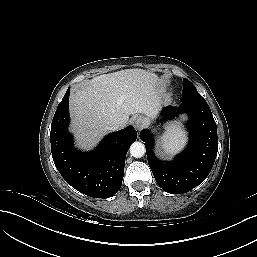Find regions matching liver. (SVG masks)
<instances>
[{
	"instance_id": "1",
	"label": "liver",
	"mask_w": 257,
	"mask_h": 257,
	"mask_svg": "<svg viewBox=\"0 0 257 257\" xmlns=\"http://www.w3.org/2000/svg\"><path fill=\"white\" fill-rule=\"evenodd\" d=\"M159 78L142 69L97 76L69 98L72 130L79 144L94 146L113 123L125 125L131 114L153 117L160 106Z\"/></svg>"
}]
</instances>
